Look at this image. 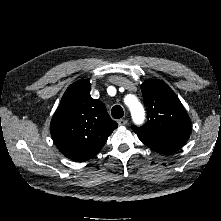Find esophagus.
Instances as JSON below:
<instances>
[{
  "instance_id": "esophagus-1",
  "label": "esophagus",
  "mask_w": 221,
  "mask_h": 221,
  "mask_svg": "<svg viewBox=\"0 0 221 221\" xmlns=\"http://www.w3.org/2000/svg\"><path fill=\"white\" fill-rule=\"evenodd\" d=\"M118 124L121 125V126H122V125H126V124H127V120L121 118V119L118 120Z\"/></svg>"
}]
</instances>
